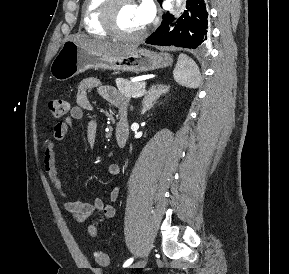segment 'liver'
I'll return each mask as SVG.
<instances>
[{
    "label": "liver",
    "mask_w": 289,
    "mask_h": 274,
    "mask_svg": "<svg viewBox=\"0 0 289 274\" xmlns=\"http://www.w3.org/2000/svg\"><path fill=\"white\" fill-rule=\"evenodd\" d=\"M69 40L76 42L81 47L90 51L114 56L124 55L136 49V46L133 45H123L104 40L87 39L78 36L70 37Z\"/></svg>",
    "instance_id": "obj_1"
}]
</instances>
